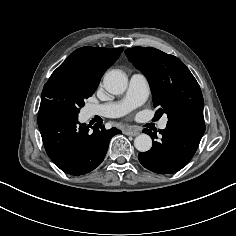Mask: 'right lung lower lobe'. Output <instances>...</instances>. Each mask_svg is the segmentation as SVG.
<instances>
[{
  "label": "right lung lower lobe",
  "mask_w": 236,
  "mask_h": 236,
  "mask_svg": "<svg viewBox=\"0 0 236 236\" xmlns=\"http://www.w3.org/2000/svg\"><path fill=\"white\" fill-rule=\"evenodd\" d=\"M38 127L49 158L65 173L86 174L103 161L110 139L121 133L116 128L78 122V113L56 100L43 101L38 114Z\"/></svg>",
  "instance_id": "1"
}]
</instances>
